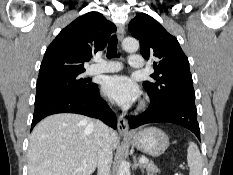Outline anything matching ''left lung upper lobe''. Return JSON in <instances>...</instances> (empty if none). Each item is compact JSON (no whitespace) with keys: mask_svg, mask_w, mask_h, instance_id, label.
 Returning <instances> with one entry per match:
<instances>
[{"mask_svg":"<svg viewBox=\"0 0 233 175\" xmlns=\"http://www.w3.org/2000/svg\"><path fill=\"white\" fill-rule=\"evenodd\" d=\"M129 30L140 41L142 56L156 60L150 75L154 81L143 83L151 105L161 107L176 98L195 99L189 61L177 39L145 13L131 20Z\"/></svg>","mask_w":233,"mask_h":175,"instance_id":"1","label":"left lung upper lobe"}]
</instances>
